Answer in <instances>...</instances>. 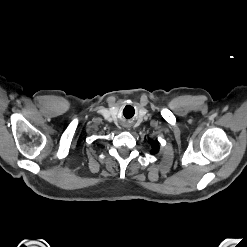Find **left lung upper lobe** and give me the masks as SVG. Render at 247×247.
Segmentation results:
<instances>
[{
  "label": "left lung upper lobe",
  "mask_w": 247,
  "mask_h": 247,
  "mask_svg": "<svg viewBox=\"0 0 247 247\" xmlns=\"http://www.w3.org/2000/svg\"><path fill=\"white\" fill-rule=\"evenodd\" d=\"M158 151H159V144H158V142H153L152 143L151 153L152 154H156V153H158Z\"/></svg>",
  "instance_id": "1"
}]
</instances>
